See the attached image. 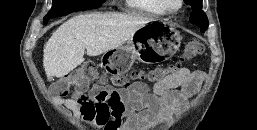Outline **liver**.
Segmentation results:
<instances>
[{
	"instance_id": "liver-1",
	"label": "liver",
	"mask_w": 257,
	"mask_h": 130,
	"mask_svg": "<svg viewBox=\"0 0 257 130\" xmlns=\"http://www.w3.org/2000/svg\"><path fill=\"white\" fill-rule=\"evenodd\" d=\"M151 18L93 13L75 16L54 31L44 47L43 66L47 77L62 78L88 56H98L121 47Z\"/></svg>"
}]
</instances>
